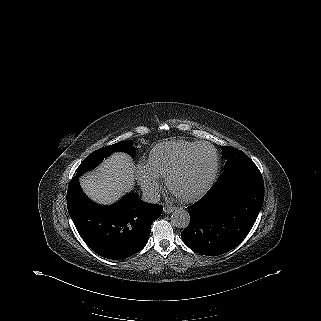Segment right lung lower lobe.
Wrapping results in <instances>:
<instances>
[{
	"label": "right lung lower lobe",
	"mask_w": 321,
	"mask_h": 321,
	"mask_svg": "<svg viewBox=\"0 0 321 321\" xmlns=\"http://www.w3.org/2000/svg\"><path fill=\"white\" fill-rule=\"evenodd\" d=\"M67 207L84 242L102 257L121 260L140 251L147 243L151 224L163 207L129 193L118 203L101 206L82 191L78 176L68 187Z\"/></svg>",
	"instance_id": "98d812e1"
}]
</instances>
